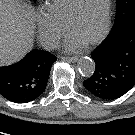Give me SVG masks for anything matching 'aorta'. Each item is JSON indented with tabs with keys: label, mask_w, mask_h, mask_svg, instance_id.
<instances>
[{
	"label": "aorta",
	"mask_w": 135,
	"mask_h": 135,
	"mask_svg": "<svg viewBox=\"0 0 135 135\" xmlns=\"http://www.w3.org/2000/svg\"><path fill=\"white\" fill-rule=\"evenodd\" d=\"M78 69L85 77H90L95 71V62L90 57H82L78 61Z\"/></svg>",
	"instance_id": "1"
}]
</instances>
